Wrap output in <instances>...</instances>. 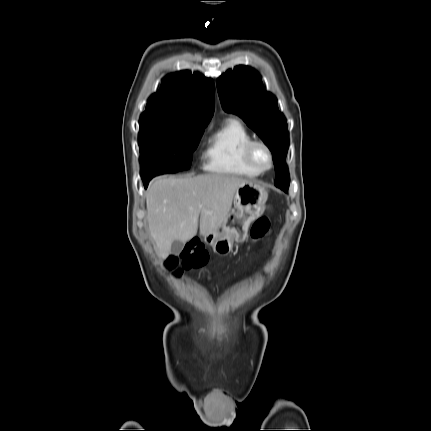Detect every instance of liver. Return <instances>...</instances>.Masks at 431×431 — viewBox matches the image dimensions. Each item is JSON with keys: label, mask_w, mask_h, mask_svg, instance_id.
I'll list each match as a JSON object with an SVG mask.
<instances>
[{"label": "liver", "mask_w": 431, "mask_h": 431, "mask_svg": "<svg viewBox=\"0 0 431 431\" xmlns=\"http://www.w3.org/2000/svg\"><path fill=\"white\" fill-rule=\"evenodd\" d=\"M247 179L234 175L205 174L158 177L146 192L147 222L158 256L165 259L175 240L216 233L232 208L236 190Z\"/></svg>", "instance_id": "obj_1"}]
</instances>
